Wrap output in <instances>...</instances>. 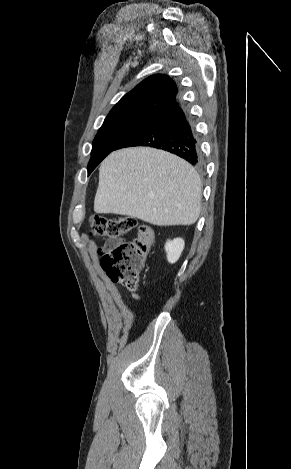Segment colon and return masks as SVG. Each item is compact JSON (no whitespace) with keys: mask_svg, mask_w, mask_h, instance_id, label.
Masks as SVG:
<instances>
[{"mask_svg":"<svg viewBox=\"0 0 291 469\" xmlns=\"http://www.w3.org/2000/svg\"><path fill=\"white\" fill-rule=\"evenodd\" d=\"M136 227V220L129 216L108 218L95 215L90 220L91 233L109 238L105 249H100L101 267L107 276L129 290H136L140 273L154 242L151 226L141 224L133 240L121 237Z\"/></svg>","mask_w":291,"mask_h":469,"instance_id":"obj_1","label":"colon"}]
</instances>
